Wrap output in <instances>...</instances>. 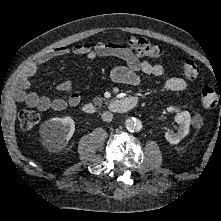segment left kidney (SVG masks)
I'll return each mask as SVG.
<instances>
[{"label": "left kidney", "mask_w": 221, "mask_h": 221, "mask_svg": "<svg viewBox=\"0 0 221 221\" xmlns=\"http://www.w3.org/2000/svg\"><path fill=\"white\" fill-rule=\"evenodd\" d=\"M169 112H176L175 121L180 125L177 133H165V138L170 144H178L184 137L189 134L191 123L190 113L188 111H180L177 108H167Z\"/></svg>", "instance_id": "obj_1"}]
</instances>
